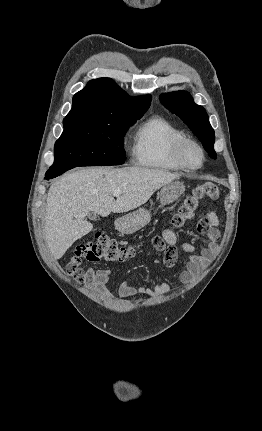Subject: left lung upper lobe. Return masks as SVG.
I'll use <instances>...</instances> for the list:
<instances>
[{
    "label": "left lung upper lobe",
    "mask_w": 262,
    "mask_h": 431,
    "mask_svg": "<svg viewBox=\"0 0 262 431\" xmlns=\"http://www.w3.org/2000/svg\"><path fill=\"white\" fill-rule=\"evenodd\" d=\"M161 103L172 113L180 117L184 123L202 142L211 158L216 159L214 150V130L211 127L205 109L197 105L186 91H176L162 94Z\"/></svg>",
    "instance_id": "left-lung-upper-lobe-1"
}]
</instances>
